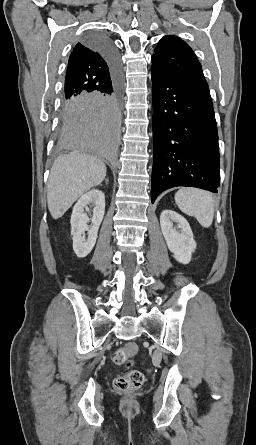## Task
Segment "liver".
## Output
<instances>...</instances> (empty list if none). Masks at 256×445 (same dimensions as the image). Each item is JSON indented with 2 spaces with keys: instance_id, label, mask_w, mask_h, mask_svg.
<instances>
[{
  "instance_id": "liver-1",
  "label": "liver",
  "mask_w": 256,
  "mask_h": 445,
  "mask_svg": "<svg viewBox=\"0 0 256 445\" xmlns=\"http://www.w3.org/2000/svg\"><path fill=\"white\" fill-rule=\"evenodd\" d=\"M106 166L97 157H75L72 153L58 156L47 183V204L51 216L58 219L86 191L100 185Z\"/></svg>"
}]
</instances>
